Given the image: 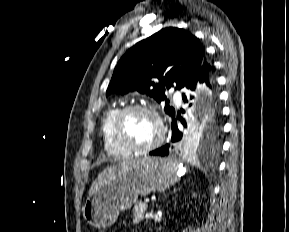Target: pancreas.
Wrapping results in <instances>:
<instances>
[{
	"mask_svg": "<svg viewBox=\"0 0 289 232\" xmlns=\"http://www.w3.org/2000/svg\"><path fill=\"white\" fill-rule=\"evenodd\" d=\"M147 210V204L146 203H142V202H138L135 206H134V212H133V216H134V220L133 223H140L143 219H144V214Z\"/></svg>",
	"mask_w": 289,
	"mask_h": 232,
	"instance_id": "obj_1",
	"label": "pancreas"
}]
</instances>
